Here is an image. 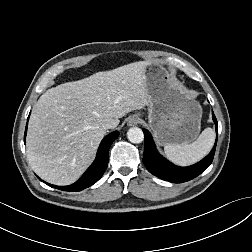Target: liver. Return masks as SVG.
Masks as SVG:
<instances>
[{
    "label": "liver",
    "instance_id": "1",
    "mask_svg": "<svg viewBox=\"0 0 252 252\" xmlns=\"http://www.w3.org/2000/svg\"><path fill=\"white\" fill-rule=\"evenodd\" d=\"M145 61L48 89L35 104L28 125L29 164L43 180L74 183L90 164L106 134L102 124L149 105Z\"/></svg>",
    "mask_w": 252,
    "mask_h": 252
}]
</instances>
